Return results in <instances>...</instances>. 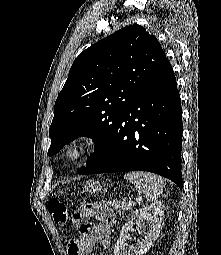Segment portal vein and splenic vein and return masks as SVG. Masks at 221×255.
Masks as SVG:
<instances>
[{"instance_id":"obj_1","label":"portal vein and splenic vein","mask_w":221,"mask_h":255,"mask_svg":"<svg viewBox=\"0 0 221 255\" xmlns=\"http://www.w3.org/2000/svg\"><path fill=\"white\" fill-rule=\"evenodd\" d=\"M129 202L135 205V203H134V202H131V201H129Z\"/></svg>"}]
</instances>
